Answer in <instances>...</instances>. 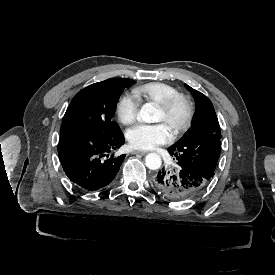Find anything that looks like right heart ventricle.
<instances>
[{
  "label": "right heart ventricle",
  "instance_id": "obj_1",
  "mask_svg": "<svg viewBox=\"0 0 275 275\" xmlns=\"http://www.w3.org/2000/svg\"><path fill=\"white\" fill-rule=\"evenodd\" d=\"M134 94L142 101L158 103L177 93L176 89L162 81H150L134 88Z\"/></svg>",
  "mask_w": 275,
  "mask_h": 275
}]
</instances>
